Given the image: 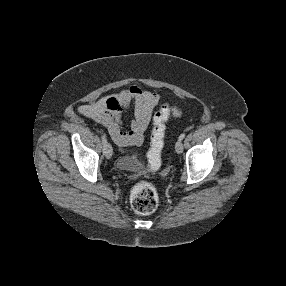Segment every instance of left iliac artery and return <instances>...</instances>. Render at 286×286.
<instances>
[{"label": "left iliac artery", "mask_w": 286, "mask_h": 286, "mask_svg": "<svg viewBox=\"0 0 286 286\" xmlns=\"http://www.w3.org/2000/svg\"><path fill=\"white\" fill-rule=\"evenodd\" d=\"M186 134L185 133H182L180 136H179V140L182 141L184 138H185Z\"/></svg>", "instance_id": "1"}]
</instances>
